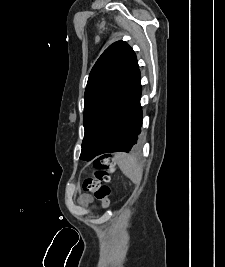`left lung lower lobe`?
<instances>
[{
  "mask_svg": "<svg viewBox=\"0 0 225 267\" xmlns=\"http://www.w3.org/2000/svg\"><path fill=\"white\" fill-rule=\"evenodd\" d=\"M141 91L138 67L122 98L111 133L98 155L129 152L136 147L142 126Z\"/></svg>",
  "mask_w": 225,
  "mask_h": 267,
  "instance_id": "obj_1",
  "label": "left lung lower lobe"
}]
</instances>
